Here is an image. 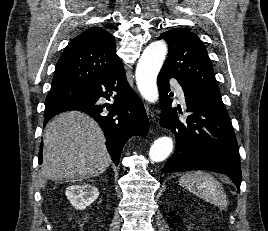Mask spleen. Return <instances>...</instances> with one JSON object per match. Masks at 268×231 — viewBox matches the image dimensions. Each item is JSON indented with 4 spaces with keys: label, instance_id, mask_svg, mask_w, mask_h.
Wrapping results in <instances>:
<instances>
[{
    "label": "spleen",
    "instance_id": "3e777b00",
    "mask_svg": "<svg viewBox=\"0 0 268 231\" xmlns=\"http://www.w3.org/2000/svg\"><path fill=\"white\" fill-rule=\"evenodd\" d=\"M179 185L221 209L228 205L227 196L221 184L213 176L201 170L183 175L179 180Z\"/></svg>",
    "mask_w": 268,
    "mask_h": 231
}]
</instances>
